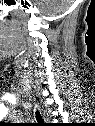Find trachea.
<instances>
[{
    "mask_svg": "<svg viewBox=\"0 0 95 126\" xmlns=\"http://www.w3.org/2000/svg\"><path fill=\"white\" fill-rule=\"evenodd\" d=\"M36 119L38 121V124L43 123L42 117H41L40 112L38 110L36 111Z\"/></svg>",
    "mask_w": 95,
    "mask_h": 126,
    "instance_id": "obj_1",
    "label": "trachea"
}]
</instances>
